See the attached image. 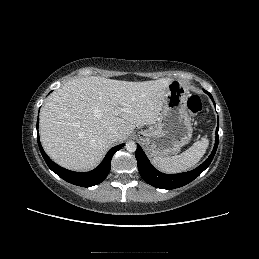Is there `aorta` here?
<instances>
[{
  "label": "aorta",
  "instance_id": "762f6f07",
  "mask_svg": "<svg viewBox=\"0 0 259 259\" xmlns=\"http://www.w3.org/2000/svg\"><path fill=\"white\" fill-rule=\"evenodd\" d=\"M125 148L128 152H135L137 149V145L134 141H128L125 145Z\"/></svg>",
  "mask_w": 259,
  "mask_h": 259
}]
</instances>
